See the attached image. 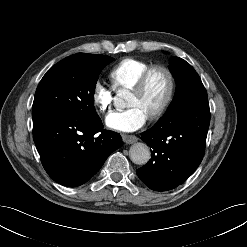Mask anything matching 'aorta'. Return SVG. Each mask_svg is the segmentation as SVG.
Here are the masks:
<instances>
[{
    "mask_svg": "<svg viewBox=\"0 0 247 247\" xmlns=\"http://www.w3.org/2000/svg\"><path fill=\"white\" fill-rule=\"evenodd\" d=\"M129 156L133 163L144 165L150 160V149L145 143L137 142L130 147Z\"/></svg>",
    "mask_w": 247,
    "mask_h": 247,
    "instance_id": "762f6f07",
    "label": "aorta"
}]
</instances>
